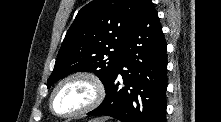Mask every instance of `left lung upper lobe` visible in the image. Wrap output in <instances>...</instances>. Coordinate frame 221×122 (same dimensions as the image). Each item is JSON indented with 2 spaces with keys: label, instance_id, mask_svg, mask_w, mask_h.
Segmentation results:
<instances>
[{
  "label": "left lung upper lobe",
  "instance_id": "1",
  "mask_svg": "<svg viewBox=\"0 0 221 122\" xmlns=\"http://www.w3.org/2000/svg\"><path fill=\"white\" fill-rule=\"evenodd\" d=\"M140 0H94L70 26L47 87L77 71L94 72L108 87L136 19Z\"/></svg>",
  "mask_w": 221,
  "mask_h": 122
}]
</instances>
